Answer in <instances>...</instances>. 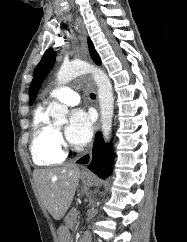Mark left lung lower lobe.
Masks as SVG:
<instances>
[{
  "label": "left lung lower lobe",
  "mask_w": 187,
  "mask_h": 242,
  "mask_svg": "<svg viewBox=\"0 0 187 242\" xmlns=\"http://www.w3.org/2000/svg\"><path fill=\"white\" fill-rule=\"evenodd\" d=\"M89 155L82 157L77 163H88ZM113 152L110 145H105L102 134L96 135L92 157L88 168L101 178H107L112 173Z\"/></svg>",
  "instance_id": "1"
}]
</instances>
